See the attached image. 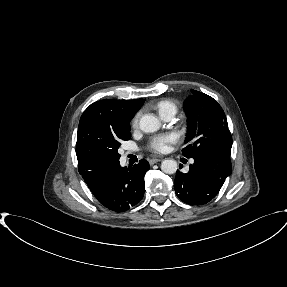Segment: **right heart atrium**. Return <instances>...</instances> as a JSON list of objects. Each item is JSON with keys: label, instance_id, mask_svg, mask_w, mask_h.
I'll use <instances>...</instances> for the list:
<instances>
[{"label": "right heart atrium", "instance_id": "d8ad5b80", "mask_svg": "<svg viewBox=\"0 0 287 287\" xmlns=\"http://www.w3.org/2000/svg\"><path fill=\"white\" fill-rule=\"evenodd\" d=\"M138 121H139V114H136L132 120L133 126H137Z\"/></svg>", "mask_w": 287, "mask_h": 287}]
</instances>
